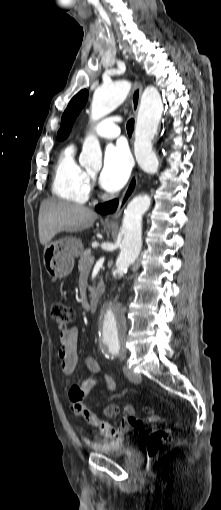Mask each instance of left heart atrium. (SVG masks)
Returning a JSON list of instances; mask_svg holds the SVG:
<instances>
[{
  "instance_id": "obj_1",
  "label": "left heart atrium",
  "mask_w": 221,
  "mask_h": 510,
  "mask_svg": "<svg viewBox=\"0 0 221 510\" xmlns=\"http://www.w3.org/2000/svg\"><path fill=\"white\" fill-rule=\"evenodd\" d=\"M132 168V159L123 144L109 145L104 154L99 181L104 189L115 192L127 182Z\"/></svg>"
}]
</instances>
